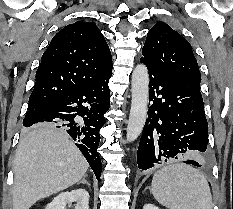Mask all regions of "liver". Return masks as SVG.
<instances>
[{
	"label": "liver",
	"instance_id": "6515ba94",
	"mask_svg": "<svg viewBox=\"0 0 233 209\" xmlns=\"http://www.w3.org/2000/svg\"><path fill=\"white\" fill-rule=\"evenodd\" d=\"M88 163L62 130L40 125L27 133L14 159L13 209H29L85 175Z\"/></svg>",
	"mask_w": 233,
	"mask_h": 209
}]
</instances>
